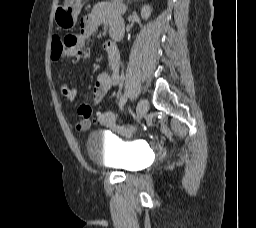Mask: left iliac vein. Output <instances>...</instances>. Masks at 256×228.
Returning a JSON list of instances; mask_svg holds the SVG:
<instances>
[{"label":"left iliac vein","instance_id":"left-iliac-vein-1","mask_svg":"<svg viewBox=\"0 0 256 228\" xmlns=\"http://www.w3.org/2000/svg\"><path fill=\"white\" fill-rule=\"evenodd\" d=\"M149 110V102L147 99H141L136 108L137 112V118L138 120H141L148 112Z\"/></svg>","mask_w":256,"mask_h":228}]
</instances>
